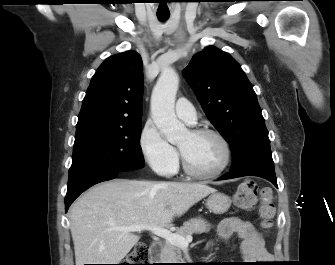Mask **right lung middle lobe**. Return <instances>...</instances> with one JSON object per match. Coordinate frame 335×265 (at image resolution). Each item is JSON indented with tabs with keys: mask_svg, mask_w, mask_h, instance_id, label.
<instances>
[{
	"mask_svg": "<svg viewBox=\"0 0 335 265\" xmlns=\"http://www.w3.org/2000/svg\"><path fill=\"white\" fill-rule=\"evenodd\" d=\"M140 136L141 120L76 130L69 179L92 169L130 171L143 167Z\"/></svg>",
	"mask_w": 335,
	"mask_h": 265,
	"instance_id": "right-lung-middle-lobe-1",
	"label": "right lung middle lobe"
}]
</instances>
